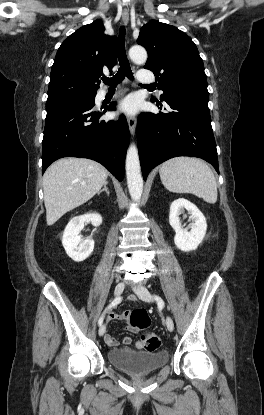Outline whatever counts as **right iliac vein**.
<instances>
[{"label": "right iliac vein", "instance_id": "right-iliac-vein-1", "mask_svg": "<svg viewBox=\"0 0 264 415\" xmlns=\"http://www.w3.org/2000/svg\"><path fill=\"white\" fill-rule=\"evenodd\" d=\"M124 288H125V284H124V282H120V283H118L117 285H116V287H115V295L116 296H119V295H121L122 294V292L124 291ZM105 332H106V325L105 324H102L101 326H100V328H99V331H98V333H99V335L100 336H103L104 334H105Z\"/></svg>", "mask_w": 264, "mask_h": 415}]
</instances>
